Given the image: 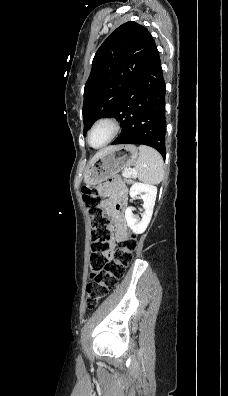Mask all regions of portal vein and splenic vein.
Masks as SVG:
<instances>
[{"label": "portal vein and splenic vein", "mask_w": 228, "mask_h": 396, "mask_svg": "<svg viewBox=\"0 0 228 396\" xmlns=\"http://www.w3.org/2000/svg\"><path fill=\"white\" fill-rule=\"evenodd\" d=\"M132 171L134 172V170H132ZM131 174H134V173H132L131 171H128V170L124 171V175L127 176V177L131 176Z\"/></svg>", "instance_id": "18ae733b"}]
</instances>
